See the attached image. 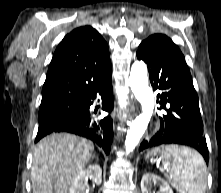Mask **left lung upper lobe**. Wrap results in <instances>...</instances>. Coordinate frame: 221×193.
Segmentation results:
<instances>
[{
    "label": "left lung upper lobe",
    "mask_w": 221,
    "mask_h": 193,
    "mask_svg": "<svg viewBox=\"0 0 221 193\" xmlns=\"http://www.w3.org/2000/svg\"><path fill=\"white\" fill-rule=\"evenodd\" d=\"M142 43L151 45L165 52L183 56L179 48L166 35L154 34L151 35L148 39L144 40Z\"/></svg>",
    "instance_id": "left-lung-upper-lobe-1"
}]
</instances>
